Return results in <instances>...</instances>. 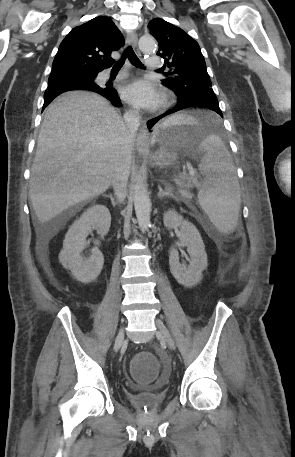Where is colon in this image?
<instances>
[{"label": "colon", "mask_w": 295, "mask_h": 457, "mask_svg": "<svg viewBox=\"0 0 295 457\" xmlns=\"http://www.w3.org/2000/svg\"><path fill=\"white\" fill-rule=\"evenodd\" d=\"M239 240H242L239 237ZM135 383H154L158 376L157 363L153 351H134L131 360Z\"/></svg>", "instance_id": "colon-1"}]
</instances>
